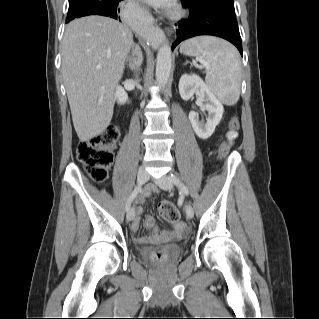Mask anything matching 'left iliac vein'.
Here are the masks:
<instances>
[{
    "label": "left iliac vein",
    "instance_id": "1",
    "mask_svg": "<svg viewBox=\"0 0 319 319\" xmlns=\"http://www.w3.org/2000/svg\"><path fill=\"white\" fill-rule=\"evenodd\" d=\"M154 182L163 190H171L173 187L171 180L167 176H162L159 179H154ZM185 213L189 219H192L194 216V209L189 203H185Z\"/></svg>",
    "mask_w": 319,
    "mask_h": 319
}]
</instances>
